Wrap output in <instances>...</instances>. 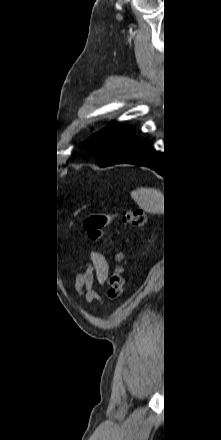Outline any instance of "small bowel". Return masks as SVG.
<instances>
[{
	"mask_svg": "<svg viewBox=\"0 0 221 440\" xmlns=\"http://www.w3.org/2000/svg\"><path fill=\"white\" fill-rule=\"evenodd\" d=\"M92 263L85 273H77L75 277V288L79 293H84L89 303L100 301L96 293L91 290V284L96 278L99 283L105 284L108 277V264L106 259L99 253L92 254Z\"/></svg>",
	"mask_w": 221,
	"mask_h": 440,
	"instance_id": "1",
	"label": "small bowel"
}]
</instances>
